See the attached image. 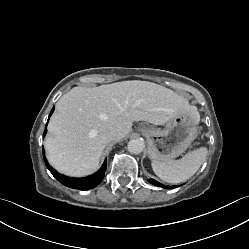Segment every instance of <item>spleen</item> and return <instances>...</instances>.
<instances>
[{"instance_id":"3e777b00","label":"spleen","mask_w":249,"mask_h":249,"mask_svg":"<svg viewBox=\"0 0 249 249\" xmlns=\"http://www.w3.org/2000/svg\"><path fill=\"white\" fill-rule=\"evenodd\" d=\"M207 152L206 147H201L187 153L179 160L152 161V169L162 181L178 184L188 180L199 170L206 160Z\"/></svg>"}]
</instances>
